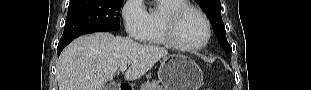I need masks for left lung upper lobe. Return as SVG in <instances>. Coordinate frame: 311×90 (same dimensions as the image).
Segmentation results:
<instances>
[{"label": "left lung upper lobe", "instance_id": "left-lung-upper-lobe-1", "mask_svg": "<svg viewBox=\"0 0 311 90\" xmlns=\"http://www.w3.org/2000/svg\"><path fill=\"white\" fill-rule=\"evenodd\" d=\"M197 2L208 16L218 42L229 53L231 49L226 39L225 26L221 18L220 0H197Z\"/></svg>", "mask_w": 311, "mask_h": 90}]
</instances>
